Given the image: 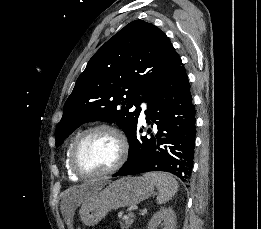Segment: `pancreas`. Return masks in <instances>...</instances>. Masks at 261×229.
I'll list each match as a JSON object with an SVG mask.
<instances>
[{
	"mask_svg": "<svg viewBox=\"0 0 261 229\" xmlns=\"http://www.w3.org/2000/svg\"><path fill=\"white\" fill-rule=\"evenodd\" d=\"M134 219H135L134 213H129L128 219H120L119 223H120L121 229H129V227H131Z\"/></svg>",
	"mask_w": 261,
	"mask_h": 229,
	"instance_id": "1",
	"label": "pancreas"
}]
</instances>
